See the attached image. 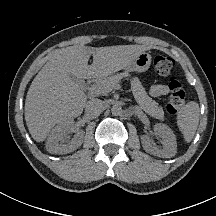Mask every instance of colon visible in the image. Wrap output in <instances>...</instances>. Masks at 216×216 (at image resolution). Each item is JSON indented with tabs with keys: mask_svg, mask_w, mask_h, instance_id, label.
<instances>
[{
	"mask_svg": "<svg viewBox=\"0 0 216 216\" xmlns=\"http://www.w3.org/2000/svg\"><path fill=\"white\" fill-rule=\"evenodd\" d=\"M154 68L156 72L164 77L170 75L173 67L174 60L171 57L164 55H157L154 57ZM169 91L170 96L166 106L169 114H177L186 103V91L182 83L174 77L169 78Z\"/></svg>",
	"mask_w": 216,
	"mask_h": 216,
	"instance_id": "obj_1",
	"label": "colon"
}]
</instances>
